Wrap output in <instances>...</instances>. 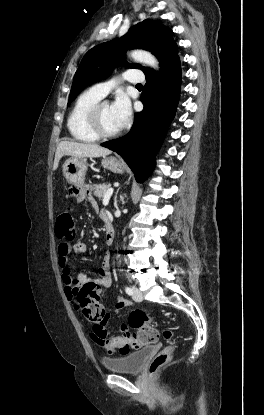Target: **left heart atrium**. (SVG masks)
<instances>
[{
  "label": "left heart atrium",
  "instance_id": "1",
  "mask_svg": "<svg viewBox=\"0 0 264 415\" xmlns=\"http://www.w3.org/2000/svg\"><path fill=\"white\" fill-rule=\"evenodd\" d=\"M111 107L120 128L126 125L131 118V105L128 97L120 93Z\"/></svg>",
  "mask_w": 264,
  "mask_h": 415
}]
</instances>
